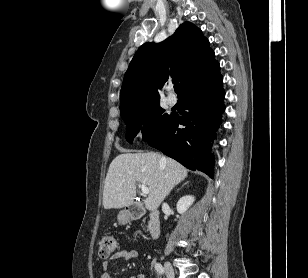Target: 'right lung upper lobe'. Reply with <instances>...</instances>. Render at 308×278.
Returning <instances> with one entry per match:
<instances>
[{"label": "right lung upper lobe", "instance_id": "obj_1", "mask_svg": "<svg viewBox=\"0 0 308 278\" xmlns=\"http://www.w3.org/2000/svg\"><path fill=\"white\" fill-rule=\"evenodd\" d=\"M214 51L200 29L190 22L159 44L145 43L134 55L120 92L121 116L158 103L157 88L169 77L182 85L183 94L220 72Z\"/></svg>", "mask_w": 308, "mask_h": 278}]
</instances>
